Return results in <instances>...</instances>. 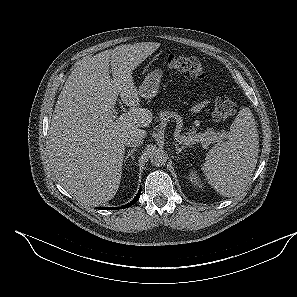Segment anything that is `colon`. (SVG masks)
Segmentation results:
<instances>
[{
    "label": "colon",
    "instance_id": "5ec220e1",
    "mask_svg": "<svg viewBox=\"0 0 297 297\" xmlns=\"http://www.w3.org/2000/svg\"><path fill=\"white\" fill-rule=\"evenodd\" d=\"M163 64L185 78L191 80H203L205 69L202 62L196 57L182 55H168L163 58ZM234 102L227 96H220L216 99L212 117L216 122H223L235 112Z\"/></svg>",
    "mask_w": 297,
    "mask_h": 297
}]
</instances>
